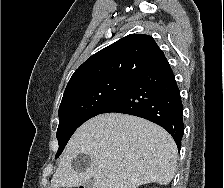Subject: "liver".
Here are the masks:
<instances>
[{"label":"liver","mask_w":224,"mask_h":188,"mask_svg":"<svg viewBox=\"0 0 224 188\" xmlns=\"http://www.w3.org/2000/svg\"><path fill=\"white\" fill-rule=\"evenodd\" d=\"M79 154L91 159L82 171L72 167ZM177 158L175 141L162 127L132 115L101 114L75 131L51 188L78 187L91 178L94 188H137L152 182L168 185L175 175Z\"/></svg>","instance_id":"6515ba94"}]
</instances>
